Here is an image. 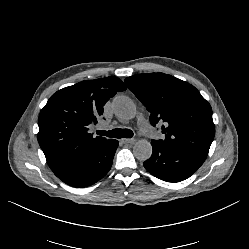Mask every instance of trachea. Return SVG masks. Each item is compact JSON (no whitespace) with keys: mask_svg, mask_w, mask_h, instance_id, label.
<instances>
[{"mask_svg":"<svg viewBox=\"0 0 249 249\" xmlns=\"http://www.w3.org/2000/svg\"><path fill=\"white\" fill-rule=\"evenodd\" d=\"M97 134L101 136H108L111 138H131L133 136V132L130 129H113L111 131H103L97 130Z\"/></svg>","mask_w":249,"mask_h":249,"instance_id":"3493384b","label":"trachea"}]
</instances>
